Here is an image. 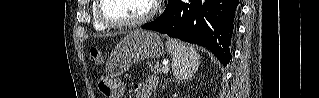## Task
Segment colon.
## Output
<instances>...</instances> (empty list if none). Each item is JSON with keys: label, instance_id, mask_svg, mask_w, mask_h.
<instances>
[{"label": "colon", "instance_id": "1", "mask_svg": "<svg viewBox=\"0 0 319 98\" xmlns=\"http://www.w3.org/2000/svg\"><path fill=\"white\" fill-rule=\"evenodd\" d=\"M90 57L96 62V63H101L102 62V54L100 50L96 47L90 48Z\"/></svg>", "mask_w": 319, "mask_h": 98}]
</instances>
